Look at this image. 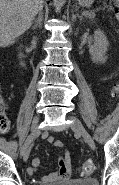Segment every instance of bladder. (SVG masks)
I'll use <instances>...</instances> for the list:
<instances>
[{
  "label": "bladder",
  "mask_w": 119,
  "mask_h": 185,
  "mask_svg": "<svg viewBox=\"0 0 119 185\" xmlns=\"http://www.w3.org/2000/svg\"><path fill=\"white\" fill-rule=\"evenodd\" d=\"M53 185H99V183L94 178H88V179H77L65 183H56Z\"/></svg>",
  "instance_id": "31cf9c89"
}]
</instances>
